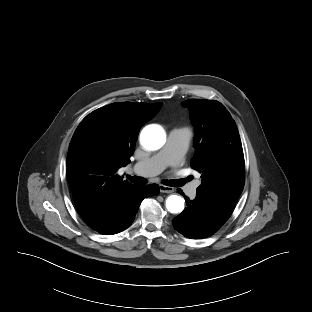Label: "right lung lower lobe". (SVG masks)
Segmentation results:
<instances>
[{
    "label": "right lung lower lobe",
    "instance_id": "obj_1",
    "mask_svg": "<svg viewBox=\"0 0 312 312\" xmlns=\"http://www.w3.org/2000/svg\"><path fill=\"white\" fill-rule=\"evenodd\" d=\"M158 194L159 186L157 184L134 185L128 190L115 210L102 222L91 226V228L103 235H112L125 230L134 221L142 200Z\"/></svg>",
    "mask_w": 312,
    "mask_h": 312
}]
</instances>
